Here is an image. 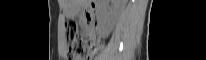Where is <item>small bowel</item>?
Masks as SVG:
<instances>
[{
	"label": "small bowel",
	"instance_id": "small-bowel-1",
	"mask_svg": "<svg viewBox=\"0 0 206 60\" xmlns=\"http://www.w3.org/2000/svg\"><path fill=\"white\" fill-rule=\"evenodd\" d=\"M87 18L90 19L89 11L87 12ZM90 49H91V50L93 49V41H91ZM75 60H82V57H81V56H77V57L75 58Z\"/></svg>",
	"mask_w": 206,
	"mask_h": 60
}]
</instances>
